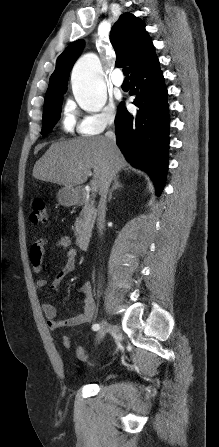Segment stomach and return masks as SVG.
<instances>
[{
  "label": "stomach",
  "mask_w": 219,
  "mask_h": 447,
  "mask_svg": "<svg viewBox=\"0 0 219 447\" xmlns=\"http://www.w3.org/2000/svg\"><path fill=\"white\" fill-rule=\"evenodd\" d=\"M58 201L63 206H72L77 203L79 191L74 187H63L58 192Z\"/></svg>",
  "instance_id": "stomach-1"
}]
</instances>
